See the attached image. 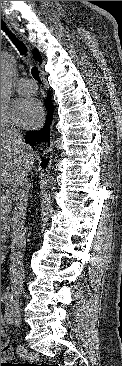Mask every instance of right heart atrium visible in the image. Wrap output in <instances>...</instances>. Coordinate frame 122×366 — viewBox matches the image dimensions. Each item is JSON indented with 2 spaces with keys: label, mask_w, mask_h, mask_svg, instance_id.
I'll use <instances>...</instances> for the list:
<instances>
[{
  "label": "right heart atrium",
  "mask_w": 122,
  "mask_h": 366,
  "mask_svg": "<svg viewBox=\"0 0 122 366\" xmlns=\"http://www.w3.org/2000/svg\"><path fill=\"white\" fill-rule=\"evenodd\" d=\"M10 119L3 111H1V132L5 131L7 129L15 128V126H16L15 123L13 122L12 118H10Z\"/></svg>",
  "instance_id": "d8ad5b80"
}]
</instances>
